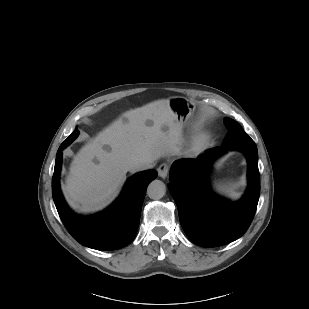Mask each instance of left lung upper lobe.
Returning a JSON list of instances; mask_svg holds the SVG:
<instances>
[{
	"instance_id": "5c2ea615",
	"label": "left lung upper lobe",
	"mask_w": 309,
	"mask_h": 309,
	"mask_svg": "<svg viewBox=\"0 0 309 309\" xmlns=\"http://www.w3.org/2000/svg\"><path fill=\"white\" fill-rule=\"evenodd\" d=\"M225 124L228 127V133L224 138L223 145H228L234 142L251 140L249 135L242 129V127L234 120L225 118Z\"/></svg>"
}]
</instances>
